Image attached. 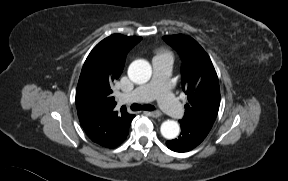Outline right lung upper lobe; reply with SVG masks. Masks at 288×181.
I'll use <instances>...</instances> for the list:
<instances>
[{"label":"right lung upper lobe","mask_w":288,"mask_h":181,"mask_svg":"<svg viewBox=\"0 0 288 181\" xmlns=\"http://www.w3.org/2000/svg\"><path fill=\"white\" fill-rule=\"evenodd\" d=\"M138 36L113 34L99 42L88 55L76 90L77 113L92 141L114 148L125 140L134 115L125 107L116 111L111 86L123 71L128 51Z\"/></svg>","instance_id":"obj_1"}]
</instances>
